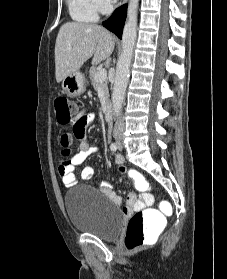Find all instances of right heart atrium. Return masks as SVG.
<instances>
[{"instance_id":"obj_1","label":"right heart atrium","mask_w":227,"mask_h":279,"mask_svg":"<svg viewBox=\"0 0 227 279\" xmlns=\"http://www.w3.org/2000/svg\"><path fill=\"white\" fill-rule=\"evenodd\" d=\"M93 10L97 13H104L108 9L109 0H89Z\"/></svg>"}]
</instances>
